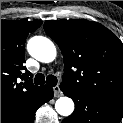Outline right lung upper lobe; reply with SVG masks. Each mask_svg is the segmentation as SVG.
<instances>
[{
    "mask_svg": "<svg viewBox=\"0 0 123 123\" xmlns=\"http://www.w3.org/2000/svg\"><path fill=\"white\" fill-rule=\"evenodd\" d=\"M41 24L1 20V115L28 103L42 89L28 81L31 73L23 65L26 38Z\"/></svg>",
    "mask_w": 123,
    "mask_h": 123,
    "instance_id": "right-lung-upper-lobe-1",
    "label": "right lung upper lobe"
}]
</instances>
